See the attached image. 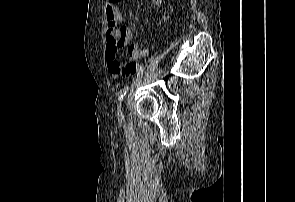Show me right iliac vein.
I'll return each instance as SVG.
<instances>
[{
    "label": "right iliac vein",
    "instance_id": "right-iliac-vein-1",
    "mask_svg": "<svg viewBox=\"0 0 295 202\" xmlns=\"http://www.w3.org/2000/svg\"><path fill=\"white\" fill-rule=\"evenodd\" d=\"M118 112H119L120 114H121V112H122L121 105H120V108H119Z\"/></svg>",
    "mask_w": 295,
    "mask_h": 202
}]
</instances>
